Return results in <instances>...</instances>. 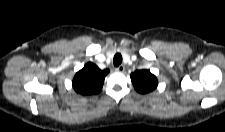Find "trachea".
I'll list each match as a JSON object with an SVG mask.
<instances>
[{
  "mask_svg": "<svg viewBox=\"0 0 225 132\" xmlns=\"http://www.w3.org/2000/svg\"><path fill=\"white\" fill-rule=\"evenodd\" d=\"M122 63V56L121 54L117 53L113 58V64L114 66H119Z\"/></svg>",
  "mask_w": 225,
  "mask_h": 132,
  "instance_id": "1",
  "label": "trachea"
}]
</instances>
